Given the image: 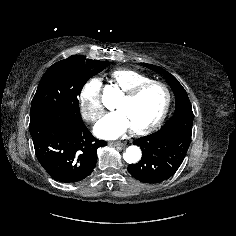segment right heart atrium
<instances>
[{
    "label": "right heart atrium",
    "mask_w": 236,
    "mask_h": 236,
    "mask_svg": "<svg viewBox=\"0 0 236 236\" xmlns=\"http://www.w3.org/2000/svg\"><path fill=\"white\" fill-rule=\"evenodd\" d=\"M102 82L92 78L82 87L79 94V106L82 117L89 123L96 122L104 113L101 100Z\"/></svg>",
    "instance_id": "d8ad5b80"
}]
</instances>
